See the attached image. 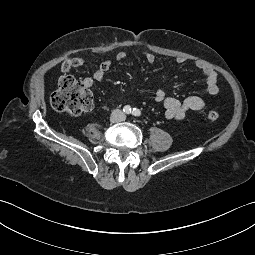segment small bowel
Masks as SVG:
<instances>
[{"instance_id": "small-bowel-1", "label": "small bowel", "mask_w": 255, "mask_h": 255, "mask_svg": "<svg viewBox=\"0 0 255 255\" xmlns=\"http://www.w3.org/2000/svg\"><path fill=\"white\" fill-rule=\"evenodd\" d=\"M145 60L149 64H153L156 61V57L153 53L143 52L142 53ZM127 57V52L120 51L117 53L115 60L123 61ZM184 58H178L177 63H185ZM84 59L82 57L67 58L61 63V71L64 73L70 72L72 69L81 67L84 64ZM113 64L112 59H107L101 62L93 77H88L84 79V84L87 88H91L95 82H102L105 78L106 73L109 71ZM197 69L205 79L206 90L210 95H217L219 93V87L217 84V73L207 65L199 62L196 64ZM154 99L157 103L161 104L164 109V114L167 119L170 120H181L190 111H200L205 107V101L199 96H189L183 101H179L175 98L166 96L165 90L163 88L157 89Z\"/></svg>"}]
</instances>
